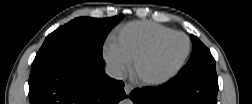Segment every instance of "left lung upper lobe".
I'll return each instance as SVG.
<instances>
[{"label": "left lung upper lobe", "mask_w": 252, "mask_h": 104, "mask_svg": "<svg viewBox=\"0 0 252 104\" xmlns=\"http://www.w3.org/2000/svg\"><path fill=\"white\" fill-rule=\"evenodd\" d=\"M193 52L186 66L179 73H188L196 70L215 69V59L210 50L194 35H191Z\"/></svg>", "instance_id": "5c2ea615"}]
</instances>
